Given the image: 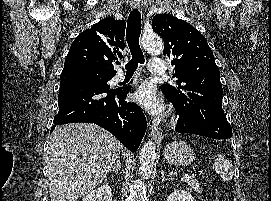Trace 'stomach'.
<instances>
[{
  "instance_id": "obj_1",
  "label": "stomach",
  "mask_w": 271,
  "mask_h": 201,
  "mask_svg": "<svg viewBox=\"0 0 271 201\" xmlns=\"http://www.w3.org/2000/svg\"><path fill=\"white\" fill-rule=\"evenodd\" d=\"M163 159L171 165L186 166L193 162L195 154L185 141H174L164 148Z\"/></svg>"
}]
</instances>
